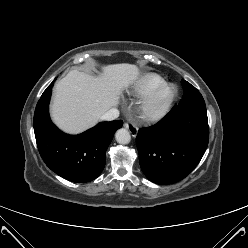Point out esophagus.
<instances>
[{"instance_id":"1","label":"esophagus","mask_w":248,"mask_h":248,"mask_svg":"<svg viewBox=\"0 0 248 248\" xmlns=\"http://www.w3.org/2000/svg\"><path fill=\"white\" fill-rule=\"evenodd\" d=\"M124 127L129 130V132L132 134V136H136L138 133V128L129 122L124 123Z\"/></svg>"}]
</instances>
